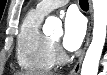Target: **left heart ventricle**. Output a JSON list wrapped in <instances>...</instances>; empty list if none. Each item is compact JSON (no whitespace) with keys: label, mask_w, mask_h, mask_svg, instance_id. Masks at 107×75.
I'll return each mask as SVG.
<instances>
[{"label":"left heart ventricle","mask_w":107,"mask_h":75,"mask_svg":"<svg viewBox=\"0 0 107 75\" xmlns=\"http://www.w3.org/2000/svg\"><path fill=\"white\" fill-rule=\"evenodd\" d=\"M54 39H55V40H58L59 38H58V37H55Z\"/></svg>","instance_id":"left-heart-ventricle-1"}]
</instances>
